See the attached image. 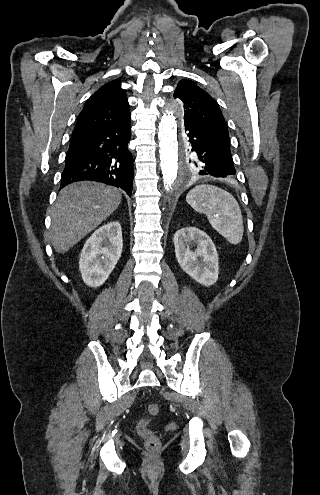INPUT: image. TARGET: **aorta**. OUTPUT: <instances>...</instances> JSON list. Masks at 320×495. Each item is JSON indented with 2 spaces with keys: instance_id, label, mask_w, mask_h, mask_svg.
Here are the masks:
<instances>
[{
  "instance_id": "1",
  "label": "aorta",
  "mask_w": 320,
  "mask_h": 495,
  "mask_svg": "<svg viewBox=\"0 0 320 495\" xmlns=\"http://www.w3.org/2000/svg\"><path fill=\"white\" fill-rule=\"evenodd\" d=\"M182 111V103L179 100L171 102L163 113L159 127V154L160 166L165 188H171L176 181L178 172V142L176 115ZM190 179L189 176L185 181ZM162 205L158 204L156 211L163 213Z\"/></svg>"
}]
</instances>
